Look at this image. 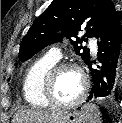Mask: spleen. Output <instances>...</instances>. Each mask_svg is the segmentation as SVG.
Returning a JSON list of instances; mask_svg holds the SVG:
<instances>
[{"label": "spleen", "mask_w": 122, "mask_h": 123, "mask_svg": "<svg viewBox=\"0 0 122 123\" xmlns=\"http://www.w3.org/2000/svg\"><path fill=\"white\" fill-rule=\"evenodd\" d=\"M82 111L87 116L89 123H102L99 108L95 104L84 105Z\"/></svg>", "instance_id": "1"}]
</instances>
